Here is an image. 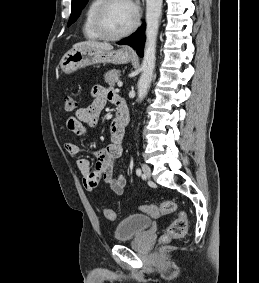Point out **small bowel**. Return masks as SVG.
<instances>
[{"instance_id":"c3829d8e","label":"small bowel","mask_w":259,"mask_h":283,"mask_svg":"<svg viewBox=\"0 0 259 283\" xmlns=\"http://www.w3.org/2000/svg\"><path fill=\"white\" fill-rule=\"evenodd\" d=\"M92 102L87 107L79 108L74 116L67 119L68 129L78 136H85L95 127L98 118L107 102L116 103L117 97L111 89L95 86L92 91ZM111 143L104 149L90 150L96 158L94 170L91 169L87 158H77L76 164L83 177L84 187L92 191L100 185L110 187L116 194L121 195L126 186V178L123 175H115V165L123 156L122 141L125 130H120L114 122L110 126ZM66 152L72 157H78L82 149L73 142L65 144Z\"/></svg>"}]
</instances>
